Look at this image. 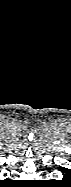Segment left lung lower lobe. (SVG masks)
I'll use <instances>...</instances> for the list:
<instances>
[{
	"mask_svg": "<svg viewBox=\"0 0 71 187\" xmlns=\"http://www.w3.org/2000/svg\"><path fill=\"white\" fill-rule=\"evenodd\" d=\"M65 178H69V173L68 172H66V174H65V176H64Z\"/></svg>",
	"mask_w": 71,
	"mask_h": 187,
	"instance_id": "0a47b994",
	"label": "left lung lower lobe"
}]
</instances>
